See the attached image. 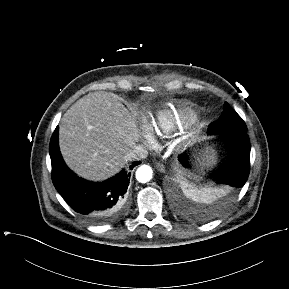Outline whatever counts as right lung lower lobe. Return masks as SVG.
Wrapping results in <instances>:
<instances>
[{"mask_svg": "<svg viewBox=\"0 0 289 289\" xmlns=\"http://www.w3.org/2000/svg\"><path fill=\"white\" fill-rule=\"evenodd\" d=\"M49 153L53 184L74 211L93 224L110 223L123 215L130 172L122 170L116 176L96 183L79 178L62 159L58 146V127L51 137ZM140 163L134 162L130 169Z\"/></svg>", "mask_w": 289, "mask_h": 289, "instance_id": "right-lung-lower-lobe-1", "label": "right lung lower lobe"}]
</instances>
